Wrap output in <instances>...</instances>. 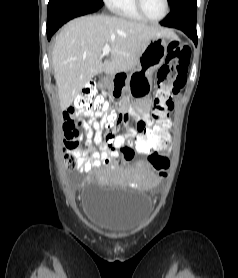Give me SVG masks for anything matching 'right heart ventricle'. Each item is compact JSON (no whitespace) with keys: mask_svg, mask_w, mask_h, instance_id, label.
Here are the masks:
<instances>
[{"mask_svg":"<svg viewBox=\"0 0 238 278\" xmlns=\"http://www.w3.org/2000/svg\"><path fill=\"white\" fill-rule=\"evenodd\" d=\"M108 7L119 17L135 21H145L136 8L135 0H112Z\"/></svg>","mask_w":238,"mask_h":278,"instance_id":"right-heart-ventricle-1","label":"right heart ventricle"}]
</instances>
